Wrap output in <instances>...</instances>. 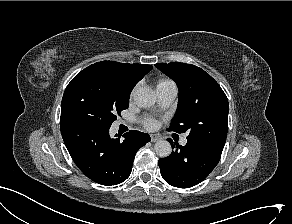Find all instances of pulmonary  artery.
<instances>
[{"instance_id":"obj_1","label":"pulmonary artery","mask_w":292,"mask_h":224,"mask_svg":"<svg viewBox=\"0 0 292 224\" xmlns=\"http://www.w3.org/2000/svg\"><path fill=\"white\" fill-rule=\"evenodd\" d=\"M158 97V106L161 109L168 108L175 100L177 96V87L173 82H166L160 84L156 88ZM187 143L186 137H183L181 144L185 145Z\"/></svg>"}]
</instances>
